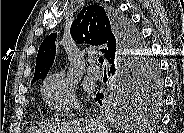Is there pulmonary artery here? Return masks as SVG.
Returning a JSON list of instances; mask_svg holds the SVG:
<instances>
[{"label":"pulmonary artery","mask_w":184,"mask_h":133,"mask_svg":"<svg viewBox=\"0 0 184 133\" xmlns=\"http://www.w3.org/2000/svg\"><path fill=\"white\" fill-rule=\"evenodd\" d=\"M88 74L90 77L94 79H101L103 76V72L100 68L95 66H89L88 67Z\"/></svg>","instance_id":"e3ab8cb5"}]
</instances>
